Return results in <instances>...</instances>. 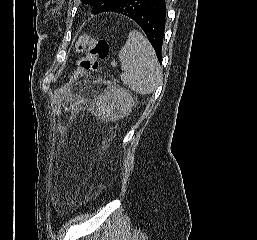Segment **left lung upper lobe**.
<instances>
[{"label": "left lung upper lobe", "instance_id": "1", "mask_svg": "<svg viewBox=\"0 0 257 240\" xmlns=\"http://www.w3.org/2000/svg\"><path fill=\"white\" fill-rule=\"evenodd\" d=\"M121 0H85V4L92 7V14L97 15L99 13L106 12L108 9L116 6Z\"/></svg>", "mask_w": 257, "mask_h": 240}]
</instances>
